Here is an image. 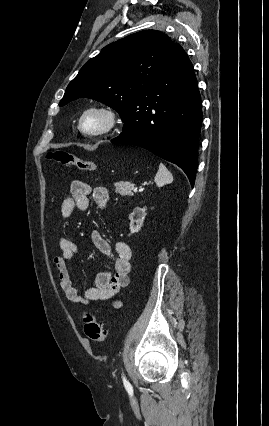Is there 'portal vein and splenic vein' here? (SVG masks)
I'll use <instances>...</instances> for the list:
<instances>
[{
    "instance_id": "portal-vein-and-splenic-vein-1",
    "label": "portal vein and splenic vein",
    "mask_w": 269,
    "mask_h": 426,
    "mask_svg": "<svg viewBox=\"0 0 269 426\" xmlns=\"http://www.w3.org/2000/svg\"><path fill=\"white\" fill-rule=\"evenodd\" d=\"M133 191H134V192H137V191H138V188H134V189H133Z\"/></svg>"
}]
</instances>
